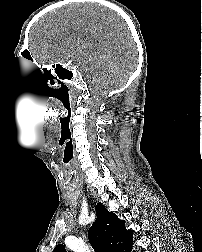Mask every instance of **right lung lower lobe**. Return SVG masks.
I'll return each instance as SVG.
<instances>
[{
  "instance_id": "right-lung-lower-lobe-1",
  "label": "right lung lower lobe",
  "mask_w": 202,
  "mask_h": 252,
  "mask_svg": "<svg viewBox=\"0 0 202 252\" xmlns=\"http://www.w3.org/2000/svg\"><path fill=\"white\" fill-rule=\"evenodd\" d=\"M131 248H132V246H130V247L128 248L127 252H130V251H131Z\"/></svg>"
}]
</instances>
